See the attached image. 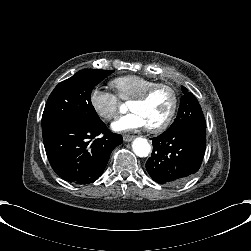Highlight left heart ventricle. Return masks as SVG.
I'll return each mask as SVG.
<instances>
[{
	"instance_id": "b2bd125f",
	"label": "left heart ventricle",
	"mask_w": 251,
	"mask_h": 251,
	"mask_svg": "<svg viewBox=\"0 0 251 251\" xmlns=\"http://www.w3.org/2000/svg\"><path fill=\"white\" fill-rule=\"evenodd\" d=\"M173 105V94L169 88H158L146 102H132L131 109L141 111L148 126L162 122Z\"/></svg>"
}]
</instances>
